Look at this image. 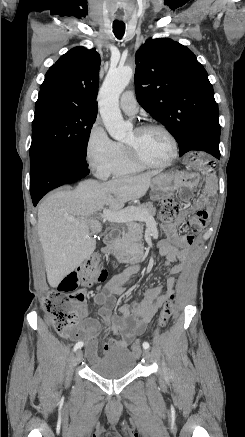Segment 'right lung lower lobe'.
I'll use <instances>...</instances> for the list:
<instances>
[{"label": "right lung lower lobe", "mask_w": 245, "mask_h": 437, "mask_svg": "<svg viewBox=\"0 0 245 437\" xmlns=\"http://www.w3.org/2000/svg\"><path fill=\"white\" fill-rule=\"evenodd\" d=\"M89 174L83 160H70L55 154L43 155L31 164L30 193L33 205L50 190L73 183Z\"/></svg>", "instance_id": "98d812e1"}]
</instances>
